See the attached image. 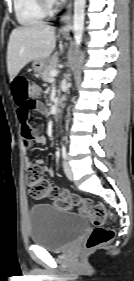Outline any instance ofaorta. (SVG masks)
I'll list each match as a JSON object with an SVG mask.
<instances>
[{"instance_id":"1","label":"aorta","mask_w":134,"mask_h":281,"mask_svg":"<svg viewBox=\"0 0 134 281\" xmlns=\"http://www.w3.org/2000/svg\"><path fill=\"white\" fill-rule=\"evenodd\" d=\"M86 0L74 1V16H73V33L76 48L82 42L83 29H84V10Z\"/></svg>"}]
</instances>
